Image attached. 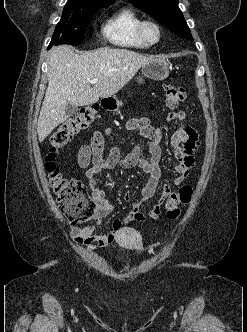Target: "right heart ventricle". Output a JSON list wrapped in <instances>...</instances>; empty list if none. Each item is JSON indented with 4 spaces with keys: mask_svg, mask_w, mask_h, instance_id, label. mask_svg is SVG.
Wrapping results in <instances>:
<instances>
[{
    "mask_svg": "<svg viewBox=\"0 0 247 332\" xmlns=\"http://www.w3.org/2000/svg\"><path fill=\"white\" fill-rule=\"evenodd\" d=\"M142 17L132 8L123 7L103 25V36L113 45L128 49H145L148 46L138 36Z\"/></svg>",
    "mask_w": 247,
    "mask_h": 332,
    "instance_id": "obj_1",
    "label": "right heart ventricle"
}]
</instances>
